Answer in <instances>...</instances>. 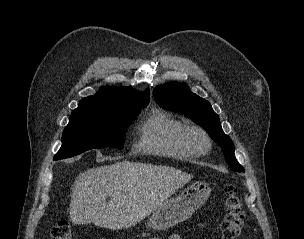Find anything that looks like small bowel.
<instances>
[{"mask_svg": "<svg viewBox=\"0 0 304 239\" xmlns=\"http://www.w3.org/2000/svg\"><path fill=\"white\" fill-rule=\"evenodd\" d=\"M169 239H183L179 234H173L169 237Z\"/></svg>", "mask_w": 304, "mask_h": 239, "instance_id": "c3829d8e", "label": "small bowel"}]
</instances>
